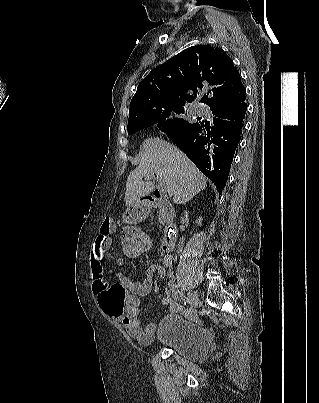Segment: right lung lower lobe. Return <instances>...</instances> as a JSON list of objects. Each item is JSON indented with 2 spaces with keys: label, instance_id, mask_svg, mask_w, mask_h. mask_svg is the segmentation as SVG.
I'll return each mask as SVG.
<instances>
[{
  "label": "right lung lower lobe",
  "instance_id": "98d812e1",
  "mask_svg": "<svg viewBox=\"0 0 319 403\" xmlns=\"http://www.w3.org/2000/svg\"><path fill=\"white\" fill-rule=\"evenodd\" d=\"M245 98L212 107L214 125L211 128L207 122L197 121L183 131L168 133L198 169L212 180L220 194L241 138L247 111Z\"/></svg>",
  "mask_w": 319,
  "mask_h": 403
}]
</instances>
